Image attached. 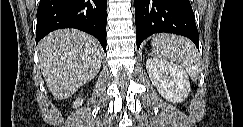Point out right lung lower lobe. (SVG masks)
I'll return each mask as SVG.
<instances>
[{
  "instance_id": "1",
  "label": "right lung lower lobe",
  "mask_w": 243,
  "mask_h": 127,
  "mask_svg": "<svg viewBox=\"0 0 243 127\" xmlns=\"http://www.w3.org/2000/svg\"><path fill=\"white\" fill-rule=\"evenodd\" d=\"M107 0H40L36 43L51 31L76 28L96 37L106 51Z\"/></svg>"
}]
</instances>
